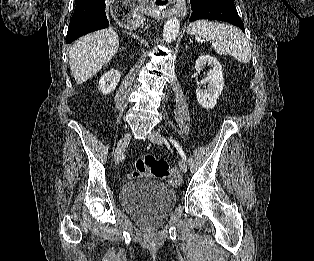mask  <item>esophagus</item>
Returning a JSON list of instances; mask_svg holds the SVG:
<instances>
[{"label":"esophagus","instance_id":"esophagus-1","mask_svg":"<svg viewBox=\"0 0 314 261\" xmlns=\"http://www.w3.org/2000/svg\"><path fill=\"white\" fill-rule=\"evenodd\" d=\"M156 10H158L165 16L172 15V14H178L179 16H182L186 13L184 0H175V3L164 4L162 8H159Z\"/></svg>","mask_w":314,"mask_h":261}]
</instances>
